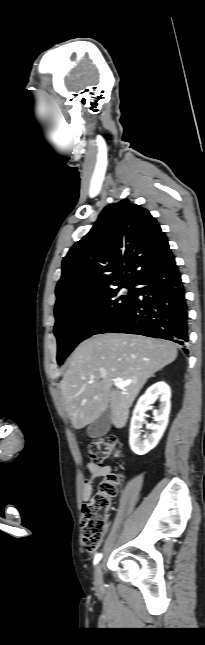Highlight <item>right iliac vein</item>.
I'll return each instance as SVG.
<instances>
[{
	"label": "right iliac vein",
	"instance_id": "right-iliac-vein-1",
	"mask_svg": "<svg viewBox=\"0 0 205 645\" xmlns=\"http://www.w3.org/2000/svg\"><path fill=\"white\" fill-rule=\"evenodd\" d=\"M102 578H103L102 564L99 563L96 566V570H95V583H96V586L100 587L102 585Z\"/></svg>",
	"mask_w": 205,
	"mask_h": 645
}]
</instances>
